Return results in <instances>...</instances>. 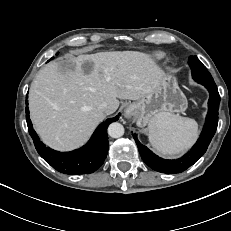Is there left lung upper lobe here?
I'll return each instance as SVG.
<instances>
[{
	"mask_svg": "<svg viewBox=\"0 0 231 231\" xmlns=\"http://www.w3.org/2000/svg\"><path fill=\"white\" fill-rule=\"evenodd\" d=\"M188 64L192 70L193 79L200 84L216 85L211 74L206 67L201 63L197 56H190Z\"/></svg>",
	"mask_w": 231,
	"mask_h": 231,
	"instance_id": "1",
	"label": "left lung upper lobe"
}]
</instances>
